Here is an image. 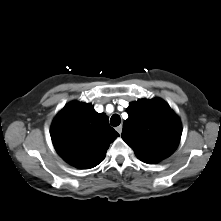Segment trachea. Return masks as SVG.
<instances>
[{
	"label": "trachea",
	"instance_id": "trachea-1",
	"mask_svg": "<svg viewBox=\"0 0 221 221\" xmlns=\"http://www.w3.org/2000/svg\"><path fill=\"white\" fill-rule=\"evenodd\" d=\"M121 123V118L118 114H113L110 119V124L114 127L118 126Z\"/></svg>",
	"mask_w": 221,
	"mask_h": 221
}]
</instances>
